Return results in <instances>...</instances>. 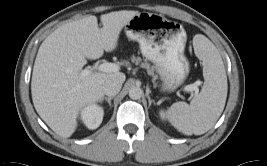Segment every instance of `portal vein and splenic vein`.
I'll return each mask as SVG.
<instances>
[{"instance_id":"obj_1","label":"portal vein and splenic vein","mask_w":267,"mask_h":166,"mask_svg":"<svg viewBox=\"0 0 267 166\" xmlns=\"http://www.w3.org/2000/svg\"><path fill=\"white\" fill-rule=\"evenodd\" d=\"M119 69H120V66L116 63L104 62V63L99 64L97 67L82 70L81 77L88 76L89 74L95 71L109 73V72H118ZM184 90L191 91V92L194 91L195 94H198L199 92L198 84L197 83L190 84L186 86Z\"/></svg>"}]
</instances>
